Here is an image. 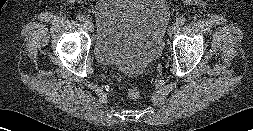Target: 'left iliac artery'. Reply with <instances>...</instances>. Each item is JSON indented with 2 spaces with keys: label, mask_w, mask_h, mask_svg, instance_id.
Segmentation results:
<instances>
[{
  "label": "left iliac artery",
  "mask_w": 253,
  "mask_h": 131,
  "mask_svg": "<svg viewBox=\"0 0 253 131\" xmlns=\"http://www.w3.org/2000/svg\"><path fill=\"white\" fill-rule=\"evenodd\" d=\"M185 22H186V18H185V17H179V18L176 20V23H177L178 25H183V24H185Z\"/></svg>",
  "instance_id": "obj_1"
}]
</instances>
